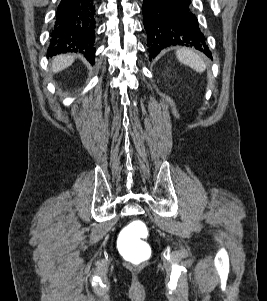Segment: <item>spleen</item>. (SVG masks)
I'll return each instance as SVG.
<instances>
[{"mask_svg": "<svg viewBox=\"0 0 267 301\" xmlns=\"http://www.w3.org/2000/svg\"><path fill=\"white\" fill-rule=\"evenodd\" d=\"M176 57L181 63L189 66L196 72L202 73L206 69L204 60L197 53L190 49H177Z\"/></svg>", "mask_w": 267, "mask_h": 301, "instance_id": "spleen-1", "label": "spleen"}]
</instances>
